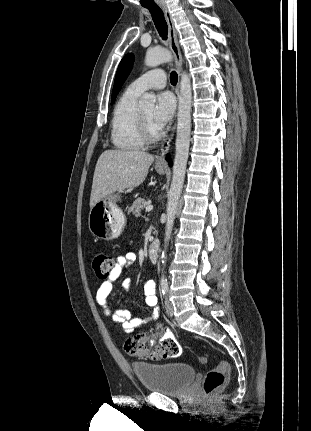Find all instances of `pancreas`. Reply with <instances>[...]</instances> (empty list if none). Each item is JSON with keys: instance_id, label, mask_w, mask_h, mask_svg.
Wrapping results in <instances>:
<instances>
[{"instance_id": "pancreas-1", "label": "pancreas", "mask_w": 311, "mask_h": 431, "mask_svg": "<svg viewBox=\"0 0 311 431\" xmlns=\"http://www.w3.org/2000/svg\"><path fill=\"white\" fill-rule=\"evenodd\" d=\"M146 206H149V204H147L145 198H137V200L133 202L132 206L128 208L127 214H132V216H141V212L146 208Z\"/></svg>"}]
</instances>
